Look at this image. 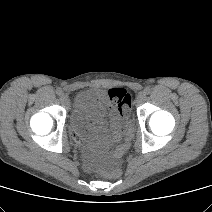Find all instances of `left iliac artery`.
Returning <instances> with one entry per match:
<instances>
[{"instance_id":"left-iliac-artery-1","label":"left iliac artery","mask_w":212,"mask_h":212,"mask_svg":"<svg viewBox=\"0 0 212 212\" xmlns=\"http://www.w3.org/2000/svg\"><path fill=\"white\" fill-rule=\"evenodd\" d=\"M144 92H145V94H150L151 93V89H150V87H146L145 89H144Z\"/></svg>"}]
</instances>
